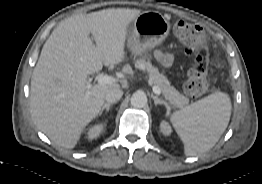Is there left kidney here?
I'll return each instance as SVG.
<instances>
[{
    "label": "left kidney",
    "instance_id": "left-kidney-1",
    "mask_svg": "<svg viewBox=\"0 0 262 184\" xmlns=\"http://www.w3.org/2000/svg\"><path fill=\"white\" fill-rule=\"evenodd\" d=\"M160 130L165 136H169L172 132L171 126L168 122L162 121L160 124Z\"/></svg>",
    "mask_w": 262,
    "mask_h": 184
}]
</instances>
